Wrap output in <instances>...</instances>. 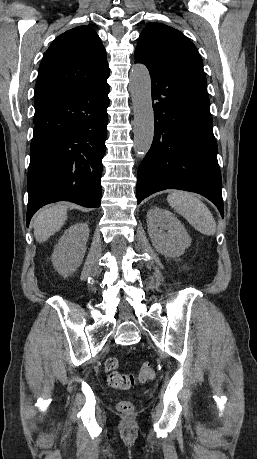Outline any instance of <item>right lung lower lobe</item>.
Masks as SVG:
<instances>
[{
    "label": "right lung lower lobe",
    "instance_id": "obj_1",
    "mask_svg": "<svg viewBox=\"0 0 257 459\" xmlns=\"http://www.w3.org/2000/svg\"><path fill=\"white\" fill-rule=\"evenodd\" d=\"M106 80L34 103L27 226L33 214L48 203L65 200L87 208L100 206L109 106Z\"/></svg>",
    "mask_w": 257,
    "mask_h": 459
}]
</instances>
